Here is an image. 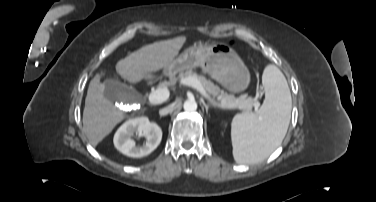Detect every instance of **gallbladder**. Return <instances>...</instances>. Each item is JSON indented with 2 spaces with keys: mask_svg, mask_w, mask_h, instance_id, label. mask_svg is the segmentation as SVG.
Instances as JSON below:
<instances>
[{
  "mask_svg": "<svg viewBox=\"0 0 376 202\" xmlns=\"http://www.w3.org/2000/svg\"><path fill=\"white\" fill-rule=\"evenodd\" d=\"M103 84L105 86L103 95L109 101L125 104L136 102L138 94L133 87L115 79H106Z\"/></svg>",
  "mask_w": 376,
  "mask_h": 202,
  "instance_id": "1",
  "label": "gallbladder"
}]
</instances>
